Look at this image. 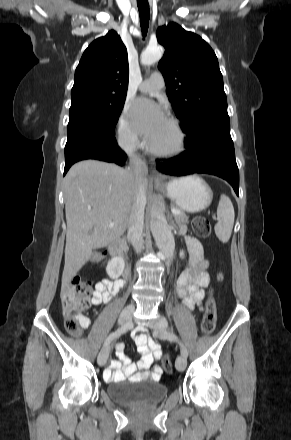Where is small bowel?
Here are the masks:
<instances>
[{
    "label": "small bowel",
    "mask_w": 291,
    "mask_h": 440,
    "mask_svg": "<svg viewBox=\"0 0 291 440\" xmlns=\"http://www.w3.org/2000/svg\"><path fill=\"white\" fill-rule=\"evenodd\" d=\"M185 243L189 250V264L176 282L175 297L181 298L188 309H203L202 302L206 297V287L209 284V276L206 272L209 262L204 257L203 247L199 240L186 236ZM123 287L119 280H104L97 283L92 301L98 305L109 303ZM78 321L83 328L91 326V320L87 316H81ZM137 343L138 353L141 360L132 362L123 352L122 345L117 346L118 359L112 360L104 371V379L107 381H120L125 378L130 380L157 379L162 374V368L154 362L162 356L160 345L150 339L146 334H133ZM150 369V370H149Z\"/></svg>",
    "instance_id": "small-bowel-1"
}]
</instances>
